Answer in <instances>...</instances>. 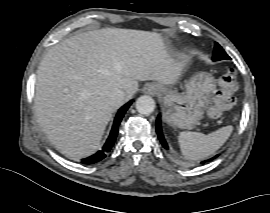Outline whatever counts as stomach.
Here are the masks:
<instances>
[{
	"instance_id": "stomach-1",
	"label": "stomach",
	"mask_w": 270,
	"mask_h": 213,
	"mask_svg": "<svg viewBox=\"0 0 270 213\" xmlns=\"http://www.w3.org/2000/svg\"><path fill=\"white\" fill-rule=\"evenodd\" d=\"M160 86L165 121L173 127L192 129L203 118L215 90V80L209 73L193 75L179 93L172 87Z\"/></svg>"
}]
</instances>
